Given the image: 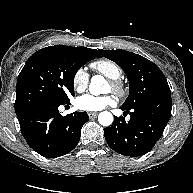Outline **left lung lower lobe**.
Segmentation results:
<instances>
[{
  "mask_svg": "<svg viewBox=\"0 0 193 193\" xmlns=\"http://www.w3.org/2000/svg\"><path fill=\"white\" fill-rule=\"evenodd\" d=\"M130 120L115 117L114 123L104 129L108 145L125 156H141L148 153L162 136L171 117V93H163L133 109H124Z\"/></svg>",
  "mask_w": 193,
  "mask_h": 193,
  "instance_id": "1",
  "label": "left lung lower lobe"
}]
</instances>
